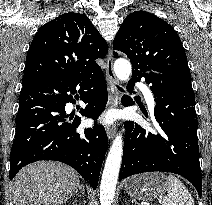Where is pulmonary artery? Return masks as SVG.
<instances>
[{"mask_svg":"<svg viewBox=\"0 0 212 205\" xmlns=\"http://www.w3.org/2000/svg\"><path fill=\"white\" fill-rule=\"evenodd\" d=\"M137 86L141 89L149 107L153 109L155 106V102L152 91L144 84H138Z\"/></svg>","mask_w":212,"mask_h":205,"instance_id":"obj_1","label":"pulmonary artery"}]
</instances>
